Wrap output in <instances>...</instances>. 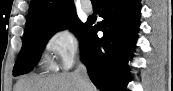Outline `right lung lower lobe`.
I'll return each instance as SVG.
<instances>
[{"instance_id":"1","label":"right lung lower lobe","mask_w":173,"mask_h":91,"mask_svg":"<svg viewBox=\"0 0 173 91\" xmlns=\"http://www.w3.org/2000/svg\"><path fill=\"white\" fill-rule=\"evenodd\" d=\"M102 7L104 20L96 25L88 21L80 38L81 58L100 90L124 91L140 25V0H102Z\"/></svg>"}]
</instances>
